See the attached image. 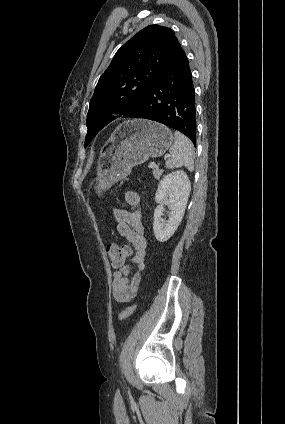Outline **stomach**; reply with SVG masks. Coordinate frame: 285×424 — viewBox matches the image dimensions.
Instances as JSON below:
<instances>
[{"label":"stomach","instance_id":"obj_1","mask_svg":"<svg viewBox=\"0 0 285 424\" xmlns=\"http://www.w3.org/2000/svg\"><path fill=\"white\" fill-rule=\"evenodd\" d=\"M170 129L160 123L135 119L123 122L101 149L94 190L102 191L128 176L149 157L162 156L172 145Z\"/></svg>","mask_w":285,"mask_h":424}]
</instances>
